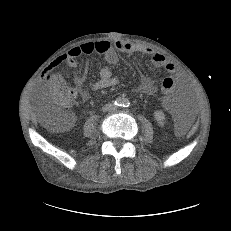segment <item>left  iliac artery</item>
Here are the masks:
<instances>
[{"mask_svg": "<svg viewBox=\"0 0 231 231\" xmlns=\"http://www.w3.org/2000/svg\"><path fill=\"white\" fill-rule=\"evenodd\" d=\"M130 105V102L128 100H124L123 106L128 107Z\"/></svg>", "mask_w": 231, "mask_h": 231, "instance_id": "44dca946", "label": "left iliac artery"}]
</instances>
